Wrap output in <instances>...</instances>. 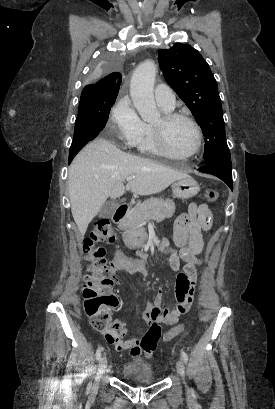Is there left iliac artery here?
<instances>
[{
    "instance_id": "44dca946",
    "label": "left iliac artery",
    "mask_w": 275,
    "mask_h": 409,
    "mask_svg": "<svg viewBox=\"0 0 275 409\" xmlns=\"http://www.w3.org/2000/svg\"><path fill=\"white\" fill-rule=\"evenodd\" d=\"M181 357H182V359H183V361H184L185 363L188 362V355H187L186 352L181 351Z\"/></svg>"
}]
</instances>
